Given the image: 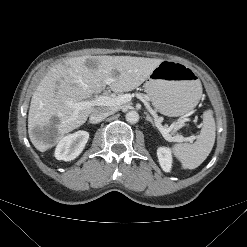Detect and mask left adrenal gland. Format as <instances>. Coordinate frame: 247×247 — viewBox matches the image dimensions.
Returning a JSON list of instances; mask_svg holds the SVG:
<instances>
[{
    "label": "left adrenal gland",
    "mask_w": 247,
    "mask_h": 247,
    "mask_svg": "<svg viewBox=\"0 0 247 247\" xmlns=\"http://www.w3.org/2000/svg\"><path fill=\"white\" fill-rule=\"evenodd\" d=\"M146 120L149 121L153 126H155L154 121L149 114L146 115Z\"/></svg>",
    "instance_id": "left-adrenal-gland-1"
}]
</instances>
